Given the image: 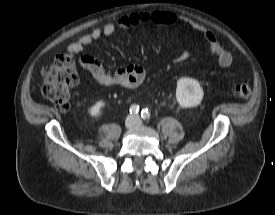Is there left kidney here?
<instances>
[{
    "mask_svg": "<svg viewBox=\"0 0 275 215\" xmlns=\"http://www.w3.org/2000/svg\"><path fill=\"white\" fill-rule=\"evenodd\" d=\"M203 89L195 79L183 77L177 81L176 99L184 108L195 107L203 99Z\"/></svg>",
    "mask_w": 275,
    "mask_h": 215,
    "instance_id": "obj_1",
    "label": "left kidney"
}]
</instances>
